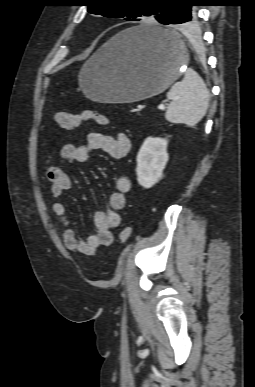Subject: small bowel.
Segmentation results:
<instances>
[{"mask_svg":"<svg viewBox=\"0 0 255 387\" xmlns=\"http://www.w3.org/2000/svg\"><path fill=\"white\" fill-rule=\"evenodd\" d=\"M131 149L130 139L124 133L109 136L99 132H90L86 143L80 146L65 144L60 148V157L66 161L86 162L93 151L102 150L114 159L126 157ZM46 178L50 183V190L55 198H60L72 188L70 176L58 166L46 169ZM115 191L109 198V210H98L94 213L93 221L96 233L85 239L77 237L70 227L66 207L60 201L51 205L52 213L58 218L63 227L62 237L65 247L75 253L91 256L99 247L110 246L114 241L113 230L120 225L119 212L125 208V195L131 190V181L127 176H119L115 181Z\"/></svg>","mask_w":255,"mask_h":387,"instance_id":"1","label":"small bowel"}]
</instances>
